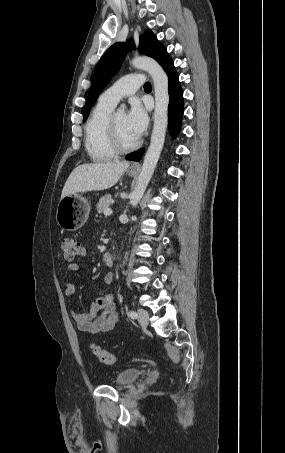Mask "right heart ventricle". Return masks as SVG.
I'll return each instance as SVG.
<instances>
[{"instance_id":"obj_1","label":"right heart ventricle","mask_w":285,"mask_h":453,"mask_svg":"<svg viewBox=\"0 0 285 453\" xmlns=\"http://www.w3.org/2000/svg\"><path fill=\"white\" fill-rule=\"evenodd\" d=\"M114 107L100 98L85 125V148L93 161H108L116 155L108 138V122Z\"/></svg>"}]
</instances>
